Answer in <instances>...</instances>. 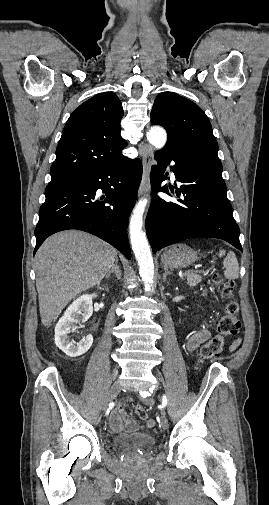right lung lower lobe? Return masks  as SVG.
<instances>
[{
  "mask_svg": "<svg viewBox=\"0 0 269 505\" xmlns=\"http://www.w3.org/2000/svg\"><path fill=\"white\" fill-rule=\"evenodd\" d=\"M141 178V161L121 157L76 178L48 184L35 229L34 254L48 236L79 229L110 243L130 259L125 228ZM98 189L107 197L96 196Z\"/></svg>",
  "mask_w": 269,
  "mask_h": 505,
  "instance_id": "right-lung-lower-lobe-1",
  "label": "right lung lower lobe"
}]
</instances>
